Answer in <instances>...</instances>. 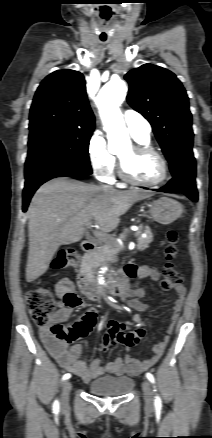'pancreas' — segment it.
Instances as JSON below:
<instances>
[{"label":"pancreas","instance_id":"cf45deb5","mask_svg":"<svg viewBox=\"0 0 212 438\" xmlns=\"http://www.w3.org/2000/svg\"><path fill=\"white\" fill-rule=\"evenodd\" d=\"M147 236L143 238L142 232H136L134 236L137 238V249L143 251L149 247V244L153 240V235L149 227L145 228ZM118 249L114 243H106L100 249L92 252L86 256V264L89 267L101 265L106 262H115L117 259Z\"/></svg>","mask_w":212,"mask_h":438}]
</instances>
